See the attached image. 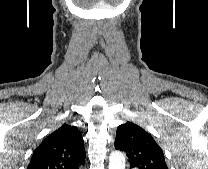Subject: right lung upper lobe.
Here are the masks:
<instances>
[{"instance_id": "right-lung-upper-lobe-1", "label": "right lung upper lobe", "mask_w": 208, "mask_h": 169, "mask_svg": "<svg viewBox=\"0 0 208 169\" xmlns=\"http://www.w3.org/2000/svg\"><path fill=\"white\" fill-rule=\"evenodd\" d=\"M84 162L85 148L79 130L63 124L34 151L27 169H78Z\"/></svg>"}]
</instances>
